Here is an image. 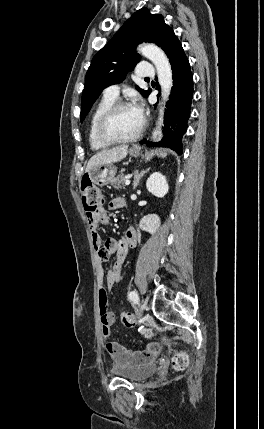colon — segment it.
Listing matches in <instances>:
<instances>
[{
	"label": "colon",
	"instance_id": "1",
	"mask_svg": "<svg viewBox=\"0 0 264 429\" xmlns=\"http://www.w3.org/2000/svg\"><path fill=\"white\" fill-rule=\"evenodd\" d=\"M81 195H82V202L84 209L88 216H94L96 215L99 210L102 208L105 198L101 190L91 184L89 181H83L81 185ZM120 321L123 326L128 328L137 327V319L135 316L128 312V311H121L119 314ZM142 329V332L146 336H151L152 333L148 329L140 328ZM189 358L188 355L185 352H179L174 355L172 359L173 367L178 370L182 371L185 370L188 366Z\"/></svg>",
	"mask_w": 264,
	"mask_h": 429
}]
</instances>
